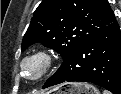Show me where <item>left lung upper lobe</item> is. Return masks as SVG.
<instances>
[{
	"instance_id": "left-lung-upper-lobe-1",
	"label": "left lung upper lobe",
	"mask_w": 121,
	"mask_h": 94,
	"mask_svg": "<svg viewBox=\"0 0 121 94\" xmlns=\"http://www.w3.org/2000/svg\"><path fill=\"white\" fill-rule=\"evenodd\" d=\"M114 20L107 0H42L23 37L22 51L34 42H41L65 60Z\"/></svg>"
}]
</instances>
